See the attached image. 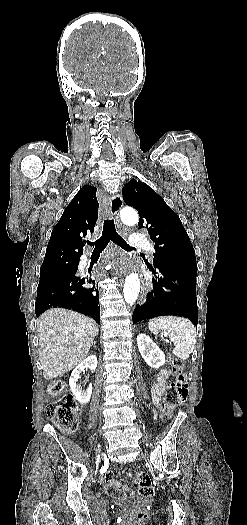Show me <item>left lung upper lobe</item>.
<instances>
[{
    "instance_id": "5c2ea615",
    "label": "left lung upper lobe",
    "mask_w": 247,
    "mask_h": 525,
    "mask_svg": "<svg viewBox=\"0 0 247 525\" xmlns=\"http://www.w3.org/2000/svg\"><path fill=\"white\" fill-rule=\"evenodd\" d=\"M128 206L138 210L139 229L146 228L155 242L154 267L197 275L195 251L179 216L146 183L132 179L122 190Z\"/></svg>"
}]
</instances>
